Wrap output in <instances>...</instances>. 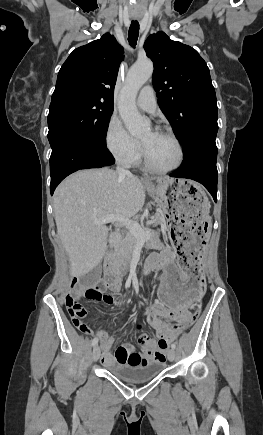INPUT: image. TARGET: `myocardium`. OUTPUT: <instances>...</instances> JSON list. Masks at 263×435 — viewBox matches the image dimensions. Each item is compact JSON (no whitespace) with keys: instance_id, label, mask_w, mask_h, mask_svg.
I'll return each mask as SVG.
<instances>
[{"instance_id":"1","label":"myocardium","mask_w":263,"mask_h":435,"mask_svg":"<svg viewBox=\"0 0 263 435\" xmlns=\"http://www.w3.org/2000/svg\"><path fill=\"white\" fill-rule=\"evenodd\" d=\"M154 132L157 134L169 137L174 141V143L176 144L178 151H179V159L175 165H173L169 168H158L151 163L149 156H148V153H147V150H146L144 144L142 143V154H143V162H144L145 167L149 171L157 173V174H166V173L172 172V171L180 168L184 162V159H185L184 147H183L180 139L173 132L166 130V129H163V128H157Z\"/></svg>"}]
</instances>
